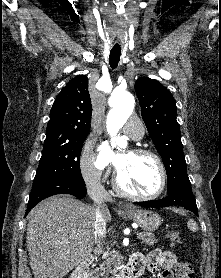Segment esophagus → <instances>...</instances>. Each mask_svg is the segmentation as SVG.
Segmentation results:
<instances>
[{"mask_svg":"<svg viewBox=\"0 0 221 278\" xmlns=\"http://www.w3.org/2000/svg\"><path fill=\"white\" fill-rule=\"evenodd\" d=\"M118 207L120 209H129V206L126 203H123V202H119Z\"/></svg>","mask_w":221,"mask_h":278,"instance_id":"34e87169","label":"esophagus"}]
</instances>
